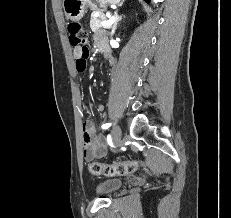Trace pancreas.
<instances>
[{
  "mask_svg": "<svg viewBox=\"0 0 231 218\" xmlns=\"http://www.w3.org/2000/svg\"><path fill=\"white\" fill-rule=\"evenodd\" d=\"M107 17L103 13L99 14V17H96L94 13L91 14V19H90V27L93 31H96L103 27L100 23L101 21H106ZM109 28V27H105Z\"/></svg>",
  "mask_w": 231,
  "mask_h": 218,
  "instance_id": "obj_1",
  "label": "pancreas"
}]
</instances>
